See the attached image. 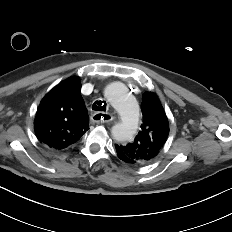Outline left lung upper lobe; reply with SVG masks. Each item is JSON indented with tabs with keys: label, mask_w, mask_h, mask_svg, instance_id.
<instances>
[{
	"label": "left lung upper lobe",
	"mask_w": 232,
	"mask_h": 232,
	"mask_svg": "<svg viewBox=\"0 0 232 232\" xmlns=\"http://www.w3.org/2000/svg\"><path fill=\"white\" fill-rule=\"evenodd\" d=\"M143 123L133 142L115 145L116 150L131 159L133 165H145L152 162L163 148L168 134L167 116L158 97L147 92L142 98Z\"/></svg>",
	"instance_id": "obj_1"
}]
</instances>
